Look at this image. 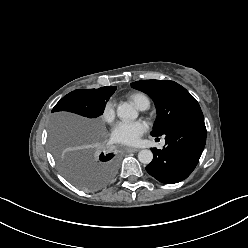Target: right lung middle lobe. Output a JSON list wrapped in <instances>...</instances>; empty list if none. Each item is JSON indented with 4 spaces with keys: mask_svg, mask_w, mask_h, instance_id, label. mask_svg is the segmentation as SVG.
I'll list each match as a JSON object with an SVG mask.
<instances>
[{
    "mask_svg": "<svg viewBox=\"0 0 248 248\" xmlns=\"http://www.w3.org/2000/svg\"><path fill=\"white\" fill-rule=\"evenodd\" d=\"M116 87L75 90L64 96L52 112L69 111L96 118L104 112L106 102ZM51 147L58 167L63 175L75 186L85 191H96L107 186L117 172V159L112 153H101L97 160H90L85 152L66 150L65 145L52 137Z\"/></svg>",
    "mask_w": 248,
    "mask_h": 248,
    "instance_id": "1",
    "label": "right lung middle lobe"
}]
</instances>
